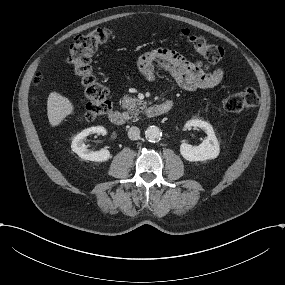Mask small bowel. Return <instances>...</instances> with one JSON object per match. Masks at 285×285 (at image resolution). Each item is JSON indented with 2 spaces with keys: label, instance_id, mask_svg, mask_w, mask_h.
<instances>
[{
  "label": "small bowel",
  "instance_id": "1",
  "mask_svg": "<svg viewBox=\"0 0 285 285\" xmlns=\"http://www.w3.org/2000/svg\"><path fill=\"white\" fill-rule=\"evenodd\" d=\"M138 65L147 79H154L156 68H160L187 91L213 88L224 78L223 69L210 70L204 63L189 61L179 52L166 48H157L142 54Z\"/></svg>",
  "mask_w": 285,
  "mask_h": 285
}]
</instances>
